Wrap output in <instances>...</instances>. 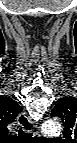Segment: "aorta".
<instances>
[{"label":"aorta","mask_w":77,"mask_h":143,"mask_svg":"<svg viewBox=\"0 0 77 143\" xmlns=\"http://www.w3.org/2000/svg\"><path fill=\"white\" fill-rule=\"evenodd\" d=\"M42 130L45 134L56 136L60 134L61 125L58 122L47 121L43 124Z\"/></svg>","instance_id":"762f6f07"}]
</instances>
